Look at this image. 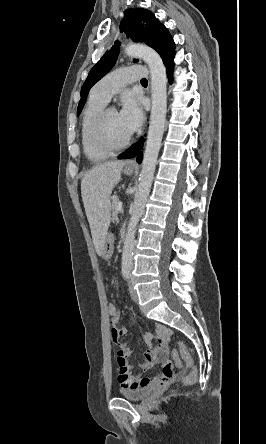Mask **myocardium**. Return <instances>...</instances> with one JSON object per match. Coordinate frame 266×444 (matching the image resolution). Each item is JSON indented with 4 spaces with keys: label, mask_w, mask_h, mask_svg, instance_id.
<instances>
[{
    "label": "myocardium",
    "mask_w": 266,
    "mask_h": 444,
    "mask_svg": "<svg viewBox=\"0 0 266 444\" xmlns=\"http://www.w3.org/2000/svg\"><path fill=\"white\" fill-rule=\"evenodd\" d=\"M111 110H114V109L113 108H104L96 116V118L94 119V121L91 125V128H90V140H91L92 145L95 148H97L101 151L114 153V152H118V151L126 148L130 144L132 136L130 134L121 144H118V145H113L104 139V137L102 135L103 126H104L106 116Z\"/></svg>",
    "instance_id": "obj_1"
}]
</instances>
